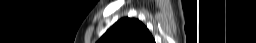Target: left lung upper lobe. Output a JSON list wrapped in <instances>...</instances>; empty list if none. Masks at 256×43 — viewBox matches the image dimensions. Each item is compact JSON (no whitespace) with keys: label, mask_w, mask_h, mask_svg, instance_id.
<instances>
[{"label":"left lung upper lobe","mask_w":256,"mask_h":43,"mask_svg":"<svg viewBox=\"0 0 256 43\" xmlns=\"http://www.w3.org/2000/svg\"><path fill=\"white\" fill-rule=\"evenodd\" d=\"M98 43H155V41L141 21L126 17L110 27Z\"/></svg>","instance_id":"5c2ea615"}]
</instances>
